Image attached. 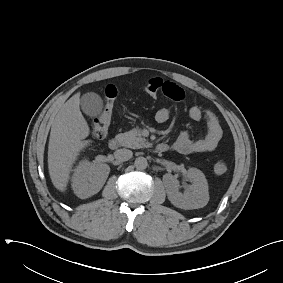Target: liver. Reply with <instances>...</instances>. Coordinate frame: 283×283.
<instances>
[{"label":"liver","mask_w":283,"mask_h":283,"mask_svg":"<svg viewBox=\"0 0 283 283\" xmlns=\"http://www.w3.org/2000/svg\"><path fill=\"white\" fill-rule=\"evenodd\" d=\"M87 121L80 111V93L62 105L53 119L48 144V169L51 181L61 192L66 190L70 172L79 152L89 141Z\"/></svg>","instance_id":"liver-1"}]
</instances>
